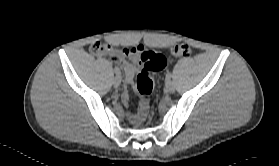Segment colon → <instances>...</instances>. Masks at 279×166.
<instances>
[{
    "label": "colon",
    "instance_id": "obj_1",
    "mask_svg": "<svg viewBox=\"0 0 279 166\" xmlns=\"http://www.w3.org/2000/svg\"><path fill=\"white\" fill-rule=\"evenodd\" d=\"M105 48L104 44L94 43L90 47L91 53L98 55ZM118 52L123 55H128V49L119 50ZM170 52L173 56L178 58H185L191 54V48L186 43H179L171 47ZM140 61L143 69L139 73L136 79V91L140 95V103L138 108L137 117L139 119L143 118L148 110V103L151 98L154 89V78L153 73L160 71L165 66V57L155 51H143L140 55Z\"/></svg>",
    "mask_w": 279,
    "mask_h": 166
}]
</instances>
